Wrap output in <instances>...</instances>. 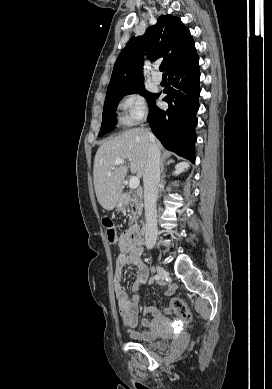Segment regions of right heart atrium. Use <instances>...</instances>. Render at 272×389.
<instances>
[{
    "mask_svg": "<svg viewBox=\"0 0 272 389\" xmlns=\"http://www.w3.org/2000/svg\"><path fill=\"white\" fill-rule=\"evenodd\" d=\"M121 121L126 125H135L147 114L145 98L142 94L133 92L126 94L119 102Z\"/></svg>",
    "mask_w": 272,
    "mask_h": 389,
    "instance_id": "d8ad5b80",
    "label": "right heart atrium"
}]
</instances>
